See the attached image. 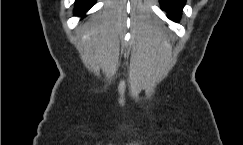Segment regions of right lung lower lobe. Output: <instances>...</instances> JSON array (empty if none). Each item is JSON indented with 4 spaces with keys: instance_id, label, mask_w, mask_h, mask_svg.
<instances>
[{
    "instance_id": "1",
    "label": "right lung lower lobe",
    "mask_w": 243,
    "mask_h": 145,
    "mask_svg": "<svg viewBox=\"0 0 243 145\" xmlns=\"http://www.w3.org/2000/svg\"><path fill=\"white\" fill-rule=\"evenodd\" d=\"M95 2L96 0H76L74 14L78 16L85 14V12L90 9Z\"/></svg>"
}]
</instances>
